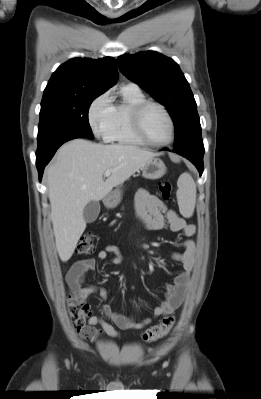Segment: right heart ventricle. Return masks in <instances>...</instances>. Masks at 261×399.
I'll return each instance as SVG.
<instances>
[{
  "mask_svg": "<svg viewBox=\"0 0 261 399\" xmlns=\"http://www.w3.org/2000/svg\"><path fill=\"white\" fill-rule=\"evenodd\" d=\"M146 100L140 89H121V101L112 104V124L108 140L122 144L144 145L134 134L131 122L130 111L138 103Z\"/></svg>",
  "mask_w": 261,
  "mask_h": 399,
  "instance_id": "right-heart-ventricle-1",
  "label": "right heart ventricle"
}]
</instances>
